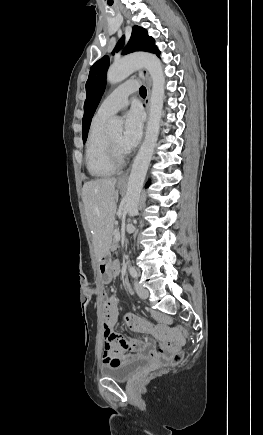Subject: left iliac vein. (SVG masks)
I'll return each mask as SVG.
<instances>
[{
    "label": "left iliac vein",
    "instance_id": "1",
    "mask_svg": "<svg viewBox=\"0 0 263 435\" xmlns=\"http://www.w3.org/2000/svg\"><path fill=\"white\" fill-rule=\"evenodd\" d=\"M135 289L138 294V296L142 299H147L149 296V292L147 289H145L142 285H140L138 282H135Z\"/></svg>",
    "mask_w": 263,
    "mask_h": 435
}]
</instances>
